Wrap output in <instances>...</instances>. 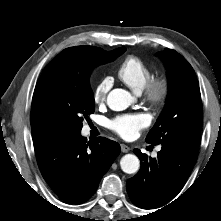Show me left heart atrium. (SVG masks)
<instances>
[{
  "instance_id": "obj_1",
  "label": "left heart atrium",
  "mask_w": 221,
  "mask_h": 221,
  "mask_svg": "<svg viewBox=\"0 0 221 221\" xmlns=\"http://www.w3.org/2000/svg\"><path fill=\"white\" fill-rule=\"evenodd\" d=\"M149 122L145 114H126L111 120L109 127L121 137L132 139L141 129L147 127Z\"/></svg>"
}]
</instances>
